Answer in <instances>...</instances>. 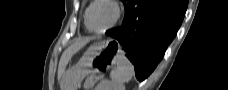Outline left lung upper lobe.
<instances>
[{
    "mask_svg": "<svg viewBox=\"0 0 228 90\" xmlns=\"http://www.w3.org/2000/svg\"><path fill=\"white\" fill-rule=\"evenodd\" d=\"M127 1H128V0H122L124 6L126 5Z\"/></svg>",
    "mask_w": 228,
    "mask_h": 90,
    "instance_id": "left-lung-upper-lobe-1",
    "label": "left lung upper lobe"
}]
</instances>
